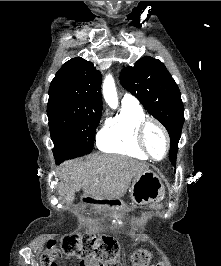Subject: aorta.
Returning <instances> with one entry per match:
<instances>
[{"label":"aorta","mask_w":221,"mask_h":266,"mask_svg":"<svg viewBox=\"0 0 221 266\" xmlns=\"http://www.w3.org/2000/svg\"><path fill=\"white\" fill-rule=\"evenodd\" d=\"M102 93L106 103L113 109L118 106V97L114 79L111 75H107L103 81Z\"/></svg>","instance_id":"762f6f07"}]
</instances>
